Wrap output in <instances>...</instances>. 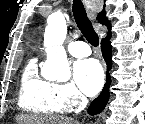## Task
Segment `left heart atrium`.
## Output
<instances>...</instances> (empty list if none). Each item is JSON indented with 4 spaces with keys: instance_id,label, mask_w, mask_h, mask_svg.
Here are the masks:
<instances>
[{
    "instance_id": "39dd6f15",
    "label": "left heart atrium",
    "mask_w": 145,
    "mask_h": 124,
    "mask_svg": "<svg viewBox=\"0 0 145 124\" xmlns=\"http://www.w3.org/2000/svg\"><path fill=\"white\" fill-rule=\"evenodd\" d=\"M73 75L78 88L87 96L95 95L103 85V71L95 59L77 61L74 64Z\"/></svg>"
}]
</instances>
